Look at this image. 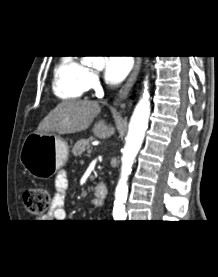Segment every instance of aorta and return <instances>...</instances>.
<instances>
[{"mask_svg":"<svg viewBox=\"0 0 218 277\" xmlns=\"http://www.w3.org/2000/svg\"><path fill=\"white\" fill-rule=\"evenodd\" d=\"M88 61L96 67L104 64L103 56H89ZM144 87L143 95L137 103L131 117L126 144L122 150L121 174L115 191L113 207V217L115 220H124L126 218L125 202L128 195V176L131 173L133 161L141 148L145 132L148 128L150 95L147 81L144 83Z\"/></svg>","mask_w":218,"mask_h":277,"instance_id":"aorta-1","label":"aorta"}]
</instances>
